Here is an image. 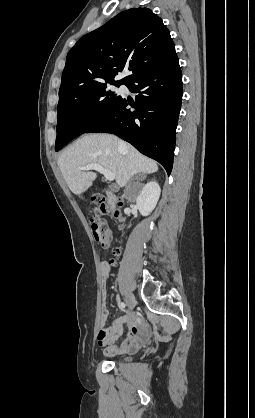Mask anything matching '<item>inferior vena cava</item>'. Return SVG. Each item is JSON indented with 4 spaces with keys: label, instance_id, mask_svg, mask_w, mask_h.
Here are the masks:
<instances>
[{
    "label": "inferior vena cava",
    "instance_id": "inferior-vena-cava-1",
    "mask_svg": "<svg viewBox=\"0 0 255 418\" xmlns=\"http://www.w3.org/2000/svg\"><path fill=\"white\" fill-rule=\"evenodd\" d=\"M119 146H120V147H123V146H124V143H123V142H120V143H119Z\"/></svg>",
    "mask_w": 255,
    "mask_h": 418
}]
</instances>
